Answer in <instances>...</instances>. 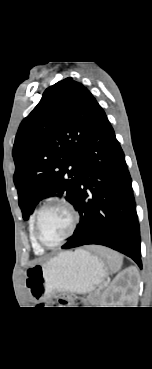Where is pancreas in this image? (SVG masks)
<instances>
[{
	"instance_id": "obj_1",
	"label": "pancreas",
	"mask_w": 152,
	"mask_h": 369,
	"mask_svg": "<svg viewBox=\"0 0 152 369\" xmlns=\"http://www.w3.org/2000/svg\"><path fill=\"white\" fill-rule=\"evenodd\" d=\"M101 297L102 296H101V293L100 292H95L94 294H92L90 296L89 302L91 304H96V303H98L100 301Z\"/></svg>"
}]
</instances>
